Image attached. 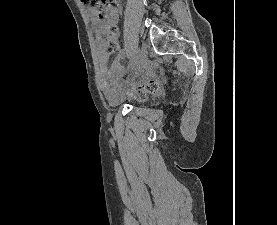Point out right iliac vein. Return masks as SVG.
Returning a JSON list of instances; mask_svg holds the SVG:
<instances>
[{"instance_id": "obj_1", "label": "right iliac vein", "mask_w": 277, "mask_h": 225, "mask_svg": "<svg viewBox=\"0 0 277 225\" xmlns=\"http://www.w3.org/2000/svg\"><path fill=\"white\" fill-rule=\"evenodd\" d=\"M146 62H147V51L143 47L138 53L137 67L138 68H143L146 65Z\"/></svg>"}]
</instances>
